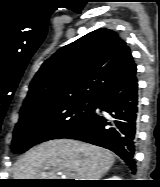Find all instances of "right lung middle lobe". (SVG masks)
<instances>
[{"label":"right lung middle lobe","mask_w":160,"mask_h":187,"mask_svg":"<svg viewBox=\"0 0 160 187\" xmlns=\"http://www.w3.org/2000/svg\"><path fill=\"white\" fill-rule=\"evenodd\" d=\"M95 98H78L33 111L20 112L14 129L12 151L24 153L44 141L64 138L94 112Z\"/></svg>","instance_id":"obj_1"}]
</instances>
